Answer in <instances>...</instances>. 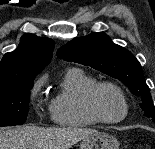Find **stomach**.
<instances>
[{"instance_id":"obj_1","label":"stomach","mask_w":155,"mask_h":149,"mask_svg":"<svg viewBox=\"0 0 155 149\" xmlns=\"http://www.w3.org/2000/svg\"><path fill=\"white\" fill-rule=\"evenodd\" d=\"M119 146L114 136L96 131L82 139L80 149H119Z\"/></svg>"}]
</instances>
